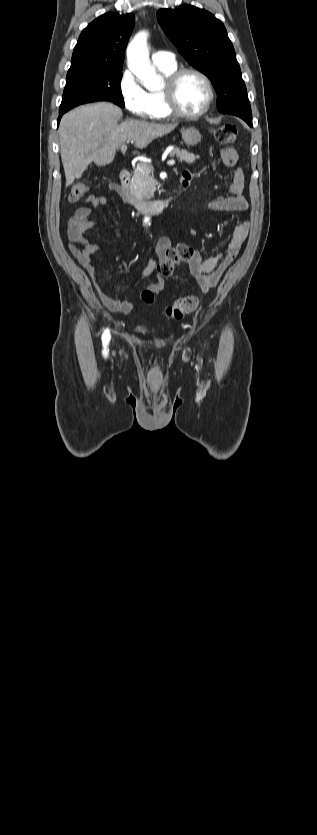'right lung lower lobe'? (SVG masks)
<instances>
[{
	"label": "right lung lower lobe",
	"mask_w": 317,
	"mask_h": 835,
	"mask_svg": "<svg viewBox=\"0 0 317 835\" xmlns=\"http://www.w3.org/2000/svg\"><path fill=\"white\" fill-rule=\"evenodd\" d=\"M65 112H66V111H61V112L59 111L58 125H59V121H60V119H61L62 115H63Z\"/></svg>",
	"instance_id": "98d812e1"
}]
</instances>
